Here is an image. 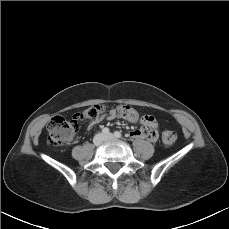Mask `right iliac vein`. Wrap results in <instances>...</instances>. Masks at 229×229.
<instances>
[{
	"mask_svg": "<svg viewBox=\"0 0 229 229\" xmlns=\"http://www.w3.org/2000/svg\"><path fill=\"white\" fill-rule=\"evenodd\" d=\"M104 140L105 136L102 133H99L94 137L93 142L95 145H100Z\"/></svg>",
	"mask_w": 229,
	"mask_h": 229,
	"instance_id": "63e3f726",
	"label": "right iliac vein"
}]
</instances>
